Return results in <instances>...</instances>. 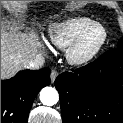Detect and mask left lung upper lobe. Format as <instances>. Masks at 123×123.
<instances>
[{
	"label": "left lung upper lobe",
	"mask_w": 123,
	"mask_h": 123,
	"mask_svg": "<svg viewBox=\"0 0 123 123\" xmlns=\"http://www.w3.org/2000/svg\"><path fill=\"white\" fill-rule=\"evenodd\" d=\"M117 48L123 49V37L119 40Z\"/></svg>",
	"instance_id": "5c2ea615"
}]
</instances>
